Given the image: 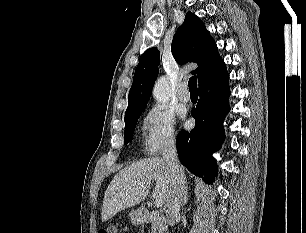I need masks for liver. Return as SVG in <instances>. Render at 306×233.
<instances>
[{"mask_svg": "<svg viewBox=\"0 0 306 233\" xmlns=\"http://www.w3.org/2000/svg\"><path fill=\"white\" fill-rule=\"evenodd\" d=\"M153 181L154 198L167 200L171 190V170L164 159L147 158L132 163L117 173L110 182L103 199L102 221L118 212L139 204L149 194Z\"/></svg>", "mask_w": 306, "mask_h": 233, "instance_id": "liver-1", "label": "liver"}]
</instances>
